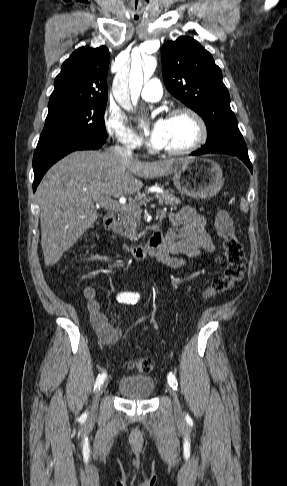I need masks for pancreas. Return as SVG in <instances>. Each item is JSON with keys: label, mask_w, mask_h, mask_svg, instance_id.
<instances>
[{"label": "pancreas", "mask_w": 287, "mask_h": 486, "mask_svg": "<svg viewBox=\"0 0 287 486\" xmlns=\"http://www.w3.org/2000/svg\"><path fill=\"white\" fill-rule=\"evenodd\" d=\"M155 197L158 199L159 204L169 205L172 209H175L181 203V200L169 191L157 193ZM144 199H146L145 194L137 195L119 210L117 232L131 241L137 240L145 234L144 231L137 232V218L141 212L140 205Z\"/></svg>", "instance_id": "pancreas-1"}]
</instances>
